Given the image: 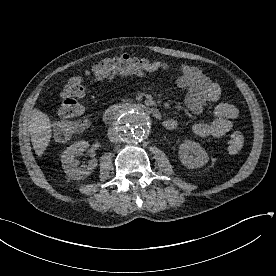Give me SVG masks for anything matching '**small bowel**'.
<instances>
[{
    "label": "small bowel",
    "instance_id": "small-bowel-1",
    "mask_svg": "<svg viewBox=\"0 0 276 276\" xmlns=\"http://www.w3.org/2000/svg\"><path fill=\"white\" fill-rule=\"evenodd\" d=\"M174 67L166 61H150L149 72L172 71ZM178 75L176 85L187 91L185 105L195 114L209 109L215 117L211 122H198L193 126V132L199 137H222L226 135L233 126V120L239 115L236 106L218 102L221 96L220 86L211 81L201 69L196 66L181 64L176 67ZM163 125L168 130L178 127L177 120L167 118Z\"/></svg>",
    "mask_w": 276,
    "mask_h": 276
}]
</instances>
